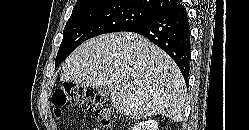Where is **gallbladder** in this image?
Here are the masks:
<instances>
[{
    "label": "gallbladder",
    "mask_w": 249,
    "mask_h": 130,
    "mask_svg": "<svg viewBox=\"0 0 249 130\" xmlns=\"http://www.w3.org/2000/svg\"><path fill=\"white\" fill-rule=\"evenodd\" d=\"M98 93L102 96L107 97L109 95V88L107 86H102L98 89Z\"/></svg>",
    "instance_id": "1"
}]
</instances>
